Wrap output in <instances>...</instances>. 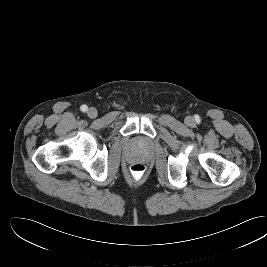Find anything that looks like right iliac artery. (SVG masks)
Masks as SVG:
<instances>
[{
	"mask_svg": "<svg viewBox=\"0 0 267 267\" xmlns=\"http://www.w3.org/2000/svg\"><path fill=\"white\" fill-rule=\"evenodd\" d=\"M87 109H88V107H87L86 105H82V106L80 107V110H81L82 112H86Z\"/></svg>",
	"mask_w": 267,
	"mask_h": 267,
	"instance_id": "obj_1",
	"label": "right iliac artery"
}]
</instances>
